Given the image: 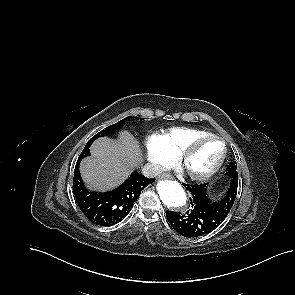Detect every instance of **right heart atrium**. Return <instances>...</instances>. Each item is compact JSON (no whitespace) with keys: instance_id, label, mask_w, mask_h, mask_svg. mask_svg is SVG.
<instances>
[{"instance_id":"d8ad5b80","label":"right heart atrium","mask_w":295,"mask_h":295,"mask_svg":"<svg viewBox=\"0 0 295 295\" xmlns=\"http://www.w3.org/2000/svg\"><path fill=\"white\" fill-rule=\"evenodd\" d=\"M145 148L146 158L156 173H160L175 161V157L163 147L158 134L150 135L146 139Z\"/></svg>"}]
</instances>
